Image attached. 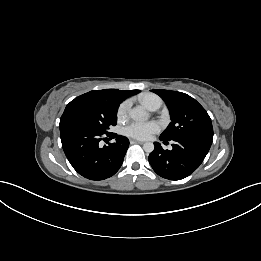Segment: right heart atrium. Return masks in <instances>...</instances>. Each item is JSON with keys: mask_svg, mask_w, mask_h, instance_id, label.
<instances>
[{"mask_svg": "<svg viewBox=\"0 0 261 261\" xmlns=\"http://www.w3.org/2000/svg\"><path fill=\"white\" fill-rule=\"evenodd\" d=\"M128 107H129L128 101H124L120 104V106L118 107V110H117L118 118L125 117V115L127 114V111H128Z\"/></svg>", "mask_w": 261, "mask_h": 261, "instance_id": "right-heart-atrium-1", "label": "right heart atrium"}]
</instances>
